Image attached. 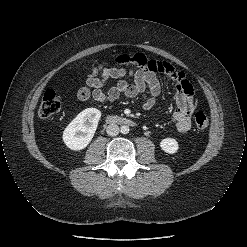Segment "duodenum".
<instances>
[{"instance_id": "duodenum-1", "label": "duodenum", "mask_w": 247, "mask_h": 247, "mask_svg": "<svg viewBox=\"0 0 247 247\" xmlns=\"http://www.w3.org/2000/svg\"><path fill=\"white\" fill-rule=\"evenodd\" d=\"M108 121L110 123H117V124H124V125H132L133 124L132 120H130L128 118H124V117H118V116H109Z\"/></svg>"}]
</instances>
